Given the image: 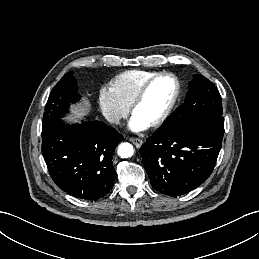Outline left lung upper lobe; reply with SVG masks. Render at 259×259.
I'll return each mask as SVG.
<instances>
[{"label":"left lung upper lobe","mask_w":259,"mask_h":259,"mask_svg":"<svg viewBox=\"0 0 259 259\" xmlns=\"http://www.w3.org/2000/svg\"><path fill=\"white\" fill-rule=\"evenodd\" d=\"M189 88L185 103L179 106L157 131L171 132L191 119L205 114L222 116L221 96L210 80L201 74L194 75Z\"/></svg>","instance_id":"obj_1"}]
</instances>
